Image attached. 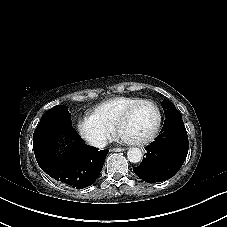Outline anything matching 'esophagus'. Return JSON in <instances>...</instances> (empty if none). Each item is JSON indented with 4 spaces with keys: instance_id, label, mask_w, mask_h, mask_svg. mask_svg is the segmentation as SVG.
Wrapping results in <instances>:
<instances>
[{
    "instance_id": "obj_1",
    "label": "esophagus",
    "mask_w": 227,
    "mask_h": 227,
    "mask_svg": "<svg viewBox=\"0 0 227 227\" xmlns=\"http://www.w3.org/2000/svg\"><path fill=\"white\" fill-rule=\"evenodd\" d=\"M127 148H125V147H114V148H112V151H115V152H117V151H125Z\"/></svg>"
}]
</instances>
